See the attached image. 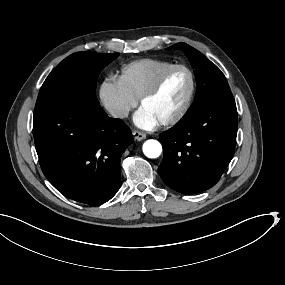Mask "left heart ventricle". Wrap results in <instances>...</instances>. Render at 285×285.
<instances>
[{"label":"left heart ventricle","instance_id":"left-heart-ventricle-1","mask_svg":"<svg viewBox=\"0 0 285 285\" xmlns=\"http://www.w3.org/2000/svg\"><path fill=\"white\" fill-rule=\"evenodd\" d=\"M189 91V82L185 74H175L143 106L159 120L175 114L184 104Z\"/></svg>","mask_w":285,"mask_h":285}]
</instances>
